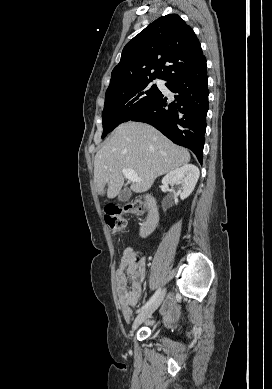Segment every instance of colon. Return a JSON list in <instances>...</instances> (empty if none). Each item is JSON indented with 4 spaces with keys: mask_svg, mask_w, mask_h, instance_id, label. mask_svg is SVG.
I'll use <instances>...</instances> for the list:
<instances>
[{
    "mask_svg": "<svg viewBox=\"0 0 272 389\" xmlns=\"http://www.w3.org/2000/svg\"><path fill=\"white\" fill-rule=\"evenodd\" d=\"M145 210V205L140 200H134L124 208L110 207L105 212V222L109 229L113 232H119L125 225L123 215L125 213L141 214Z\"/></svg>",
    "mask_w": 272,
    "mask_h": 389,
    "instance_id": "obj_1",
    "label": "colon"
}]
</instances>
